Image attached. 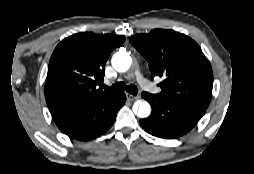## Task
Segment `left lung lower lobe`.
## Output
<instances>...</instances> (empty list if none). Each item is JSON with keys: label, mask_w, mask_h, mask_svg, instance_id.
Returning a JSON list of instances; mask_svg holds the SVG:
<instances>
[{"label": "left lung lower lobe", "mask_w": 254, "mask_h": 174, "mask_svg": "<svg viewBox=\"0 0 254 174\" xmlns=\"http://www.w3.org/2000/svg\"><path fill=\"white\" fill-rule=\"evenodd\" d=\"M142 97L151 104L152 113L149 118L140 120V124L145 131L160 138L174 139L188 133L204 114L147 92H143Z\"/></svg>", "instance_id": "0a47b994"}]
</instances>
